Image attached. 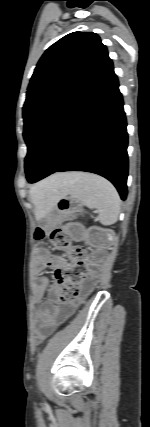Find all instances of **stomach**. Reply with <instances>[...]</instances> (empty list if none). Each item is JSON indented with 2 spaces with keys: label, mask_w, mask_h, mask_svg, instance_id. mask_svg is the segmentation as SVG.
Here are the masks:
<instances>
[{
  "label": "stomach",
  "mask_w": 150,
  "mask_h": 427,
  "mask_svg": "<svg viewBox=\"0 0 150 427\" xmlns=\"http://www.w3.org/2000/svg\"><path fill=\"white\" fill-rule=\"evenodd\" d=\"M55 210L60 214H70L79 211L80 202L74 197L61 194L54 203Z\"/></svg>",
  "instance_id": "1"
}]
</instances>
